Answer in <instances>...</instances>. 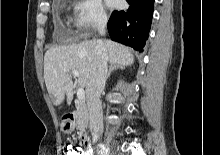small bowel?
<instances>
[{"mask_svg":"<svg viewBox=\"0 0 220 155\" xmlns=\"http://www.w3.org/2000/svg\"><path fill=\"white\" fill-rule=\"evenodd\" d=\"M76 144H77V145H86V144H87V141L85 140V137H84V136H79V137H78V140L76 141Z\"/></svg>","mask_w":220,"mask_h":155,"instance_id":"small-bowel-1","label":"small bowel"}]
</instances>
